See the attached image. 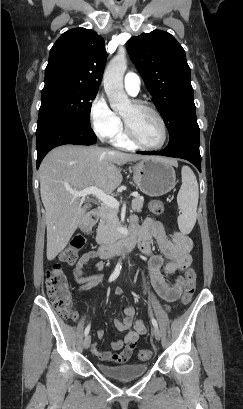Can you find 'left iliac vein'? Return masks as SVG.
<instances>
[{"instance_id": "left-iliac-vein-1", "label": "left iliac vein", "mask_w": 243, "mask_h": 409, "mask_svg": "<svg viewBox=\"0 0 243 409\" xmlns=\"http://www.w3.org/2000/svg\"><path fill=\"white\" fill-rule=\"evenodd\" d=\"M153 334H154L156 340L159 341L161 339V332H160V330L158 328H154Z\"/></svg>"}]
</instances>
